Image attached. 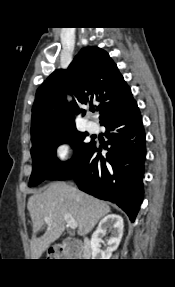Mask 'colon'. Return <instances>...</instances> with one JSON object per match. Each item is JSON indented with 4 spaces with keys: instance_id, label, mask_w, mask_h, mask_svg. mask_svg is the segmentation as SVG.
Returning <instances> with one entry per match:
<instances>
[{
    "instance_id": "1",
    "label": "colon",
    "mask_w": 175,
    "mask_h": 287,
    "mask_svg": "<svg viewBox=\"0 0 175 287\" xmlns=\"http://www.w3.org/2000/svg\"><path fill=\"white\" fill-rule=\"evenodd\" d=\"M81 250V247L80 245L76 244V243H73L71 244L70 246V251L74 254H78ZM48 254L50 257H57L58 256V249L57 248H54V247H51L48 251Z\"/></svg>"
}]
</instances>
